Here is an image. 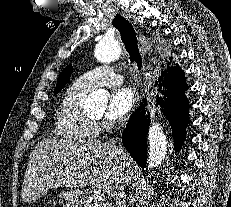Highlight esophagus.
<instances>
[{"instance_id":"1","label":"esophagus","mask_w":231,"mask_h":207,"mask_svg":"<svg viewBox=\"0 0 231 207\" xmlns=\"http://www.w3.org/2000/svg\"><path fill=\"white\" fill-rule=\"evenodd\" d=\"M129 19H130V17H129ZM131 21H132V19H131ZM140 43H141V49L143 51V54H147V53L150 54L151 46H150V44H149V42L145 36L140 35Z\"/></svg>"}]
</instances>
